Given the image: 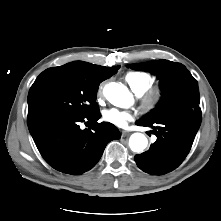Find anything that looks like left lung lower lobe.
I'll return each mask as SVG.
<instances>
[{"label": "left lung lower lobe", "mask_w": 221, "mask_h": 221, "mask_svg": "<svg viewBox=\"0 0 221 221\" xmlns=\"http://www.w3.org/2000/svg\"><path fill=\"white\" fill-rule=\"evenodd\" d=\"M200 123L201 113L137 121L139 126L152 127L151 133L157 136L148 151L135 156L138 167L152 175H163L177 168L189 153Z\"/></svg>", "instance_id": "1"}]
</instances>
